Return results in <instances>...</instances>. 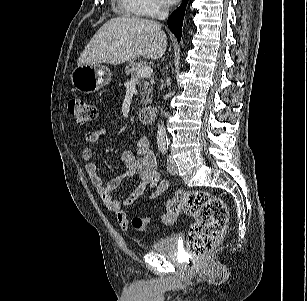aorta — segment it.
<instances>
[{"label":"aorta","mask_w":307,"mask_h":301,"mask_svg":"<svg viewBox=\"0 0 307 301\" xmlns=\"http://www.w3.org/2000/svg\"><path fill=\"white\" fill-rule=\"evenodd\" d=\"M157 145L159 148H166L168 146L166 128L164 127V123L162 121L158 124Z\"/></svg>","instance_id":"obj_1"}]
</instances>
